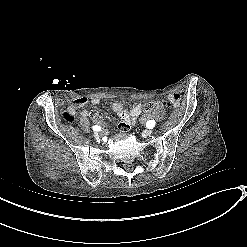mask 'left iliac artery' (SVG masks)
I'll return each instance as SVG.
<instances>
[{"mask_svg": "<svg viewBox=\"0 0 247 247\" xmlns=\"http://www.w3.org/2000/svg\"><path fill=\"white\" fill-rule=\"evenodd\" d=\"M156 122L154 120H150L148 123H147V127L150 128V129H153V127L155 126Z\"/></svg>", "mask_w": 247, "mask_h": 247, "instance_id": "44dca946", "label": "left iliac artery"}]
</instances>
